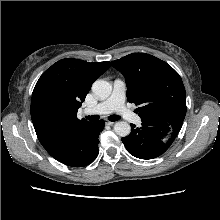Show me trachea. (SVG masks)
I'll list each match as a JSON object with an SVG mask.
<instances>
[{
    "label": "trachea",
    "mask_w": 220,
    "mask_h": 220,
    "mask_svg": "<svg viewBox=\"0 0 220 220\" xmlns=\"http://www.w3.org/2000/svg\"><path fill=\"white\" fill-rule=\"evenodd\" d=\"M121 117L120 116H117V115H111L109 116V120L114 122V121H117L119 120ZM86 119H88L89 121H97L99 119V116L98 115H91V116H86Z\"/></svg>",
    "instance_id": "1"
}]
</instances>
